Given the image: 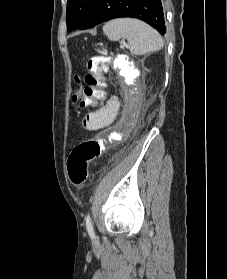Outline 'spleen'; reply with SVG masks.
<instances>
[{
    "instance_id": "obj_1",
    "label": "spleen",
    "mask_w": 227,
    "mask_h": 279,
    "mask_svg": "<svg viewBox=\"0 0 227 279\" xmlns=\"http://www.w3.org/2000/svg\"><path fill=\"white\" fill-rule=\"evenodd\" d=\"M103 33L111 41L127 39L131 53L142 55L159 51L164 42L160 34L146 23L130 18L109 21L103 26Z\"/></svg>"
}]
</instances>
